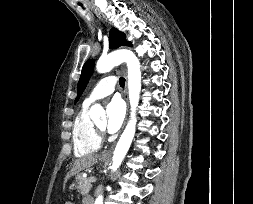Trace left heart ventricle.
Here are the masks:
<instances>
[{
	"mask_svg": "<svg viewBox=\"0 0 253 204\" xmlns=\"http://www.w3.org/2000/svg\"><path fill=\"white\" fill-rule=\"evenodd\" d=\"M104 124H105V121H104V120H101V121L96 122V125L99 126L100 128H103V127H104Z\"/></svg>",
	"mask_w": 253,
	"mask_h": 204,
	"instance_id": "left-heart-ventricle-1",
	"label": "left heart ventricle"
}]
</instances>
